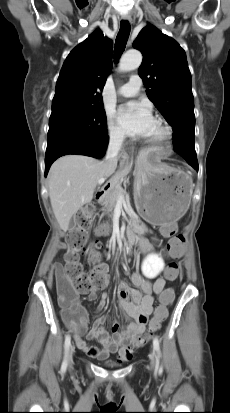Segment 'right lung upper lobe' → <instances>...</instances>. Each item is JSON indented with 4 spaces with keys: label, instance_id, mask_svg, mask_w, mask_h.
Wrapping results in <instances>:
<instances>
[{
    "label": "right lung upper lobe",
    "instance_id": "right-lung-upper-lobe-1",
    "mask_svg": "<svg viewBox=\"0 0 230 413\" xmlns=\"http://www.w3.org/2000/svg\"><path fill=\"white\" fill-rule=\"evenodd\" d=\"M112 47L97 29L70 52L56 83L52 111L103 107L99 92L112 69Z\"/></svg>",
    "mask_w": 230,
    "mask_h": 413
}]
</instances>
